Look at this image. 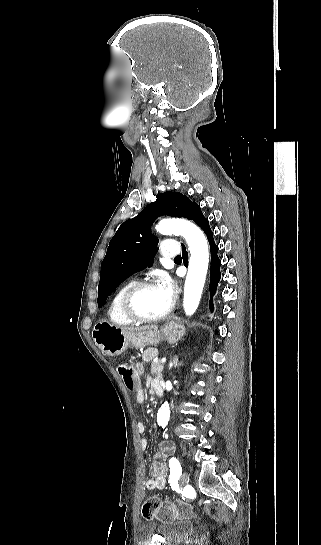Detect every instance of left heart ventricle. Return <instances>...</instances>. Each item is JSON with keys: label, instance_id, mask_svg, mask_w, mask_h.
I'll use <instances>...</instances> for the list:
<instances>
[{"label": "left heart ventricle", "instance_id": "1", "mask_svg": "<svg viewBox=\"0 0 321 545\" xmlns=\"http://www.w3.org/2000/svg\"><path fill=\"white\" fill-rule=\"evenodd\" d=\"M170 306L167 296L158 286L137 293L130 302L132 312L141 317L162 314Z\"/></svg>", "mask_w": 321, "mask_h": 545}]
</instances>
